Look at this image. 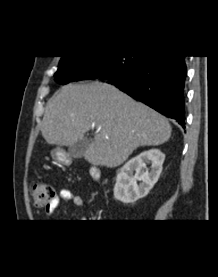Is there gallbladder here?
<instances>
[{"instance_id":"1","label":"gallbladder","mask_w":218,"mask_h":277,"mask_svg":"<svg viewBox=\"0 0 218 277\" xmlns=\"http://www.w3.org/2000/svg\"><path fill=\"white\" fill-rule=\"evenodd\" d=\"M91 144V140L83 137L69 147L68 154L73 158H80Z\"/></svg>"}]
</instances>
